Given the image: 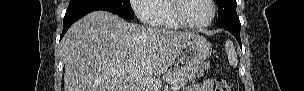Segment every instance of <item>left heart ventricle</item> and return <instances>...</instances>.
<instances>
[{
    "label": "left heart ventricle",
    "mask_w": 304,
    "mask_h": 91,
    "mask_svg": "<svg viewBox=\"0 0 304 91\" xmlns=\"http://www.w3.org/2000/svg\"><path fill=\"white\" fill-rule=\"evenodd\" d=\"M182 12L186 20L192 24L206 23L212 14L207 0H186Z\"/></svg>",
    "instance_id": "left-heart-ventricle-1"
}]
</instances>
